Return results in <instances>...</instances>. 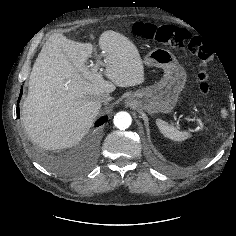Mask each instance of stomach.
Masks as SVG:
<instances>
[{
	"instance_id": "1",
	"label": "stomach",
	"mask_w": 236,
	"mask_h": 236,
	"mask_svg": "<svg viewBox=\"0 0 236 236\" xmlns=\"http://www.w3.org/2000/svg\"><path fill=\"white\" fill-rule=\"evenodd\" d=\"M144 63L164 70L161 81L130 94L127 105H135L149 114L168 113L176 105L186 83V72L173 53L156 48L144 57Z\"/></svg>"
}]
</instances>
